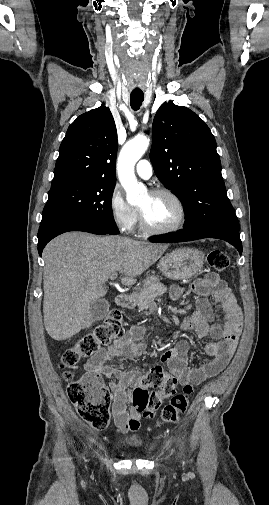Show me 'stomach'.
Segmentation results:
<instances>
[{
    "label": "stomach",
    "instance_id": "1",
    "mask_svg": "<svg viewBox=\"0 0 269 505\" xmlns=\"http://www.w3.org/2000/svg\"><path fill=\"white\" fill-rule=\"evenodd\" d=\"M204 253L194 248H181L166 254L159 262L158 268L162 274L172 280L192 278L202 269ZM157 282V278L149 276L144 281V287Z\"/></svg>",
    "mask_w": 269,
    "mask_h": 505
}]
</instances>
